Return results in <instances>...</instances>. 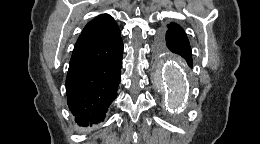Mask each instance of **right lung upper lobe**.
<instances>
[{
    "label": "right lung upper lobe",
    "mask_w": 260,
    "mask_h": 144,
    "mask_svg": "<svg viewBox=\"0 0 260 144\" xmlns=\"http://www.w3.org/2000/svg\"><path fill=\"white\" fill-rule=\"evenodd\" d=\"M119 34L120 29L110 15H99L84 27L75 47L111 40Z\"/></svg>",
    "instance_id": "cb5924a9"
}]
</instances>
